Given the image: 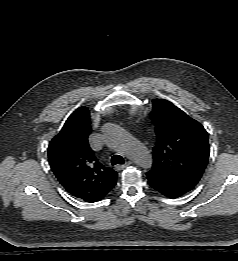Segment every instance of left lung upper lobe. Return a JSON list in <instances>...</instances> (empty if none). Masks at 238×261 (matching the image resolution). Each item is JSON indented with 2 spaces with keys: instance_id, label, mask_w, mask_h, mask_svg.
<instances>
[{
  "instance_id": "left-lung-upper-lobe-1",
  "label": "left lung upper lobe",
  "mask_w": 238,
  "mask_h": 261,
  "mask_svg": "<svg viewBox=\"0 0 238 261\" xmlns=\"http://www.w3.org/2000/svg\"><path fill=\"white\" fill-rule=\"evenodd\" d=\"M157 144L147 177L183 195L200 180L209 158L207 132L196 120L165 99H153Z\"/></svg>"
}]
</instances>
